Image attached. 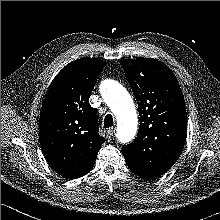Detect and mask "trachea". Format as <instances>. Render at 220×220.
Listing matches in <instances>:
<instances>
[{
	"mask_svg": "<svg viewBox=\"0 0 220 220\" xmlns=\"http://www.w3.org/2000/svg\"><path fill=\"white\" fill-rule=\"evenodd\" d=\"M113 126V117L111 114H107L104 118V128H109Z\"/></svg>",
	"mask_w": 220,
	"mask_h": 220,
	"instance_id": "1",
	"label": "trachea"
}]
</instances>
